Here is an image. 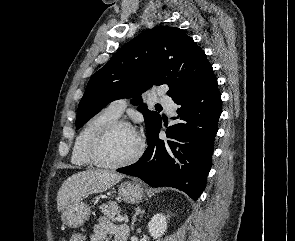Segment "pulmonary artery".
<instances>
[{"label": "pulmonary artery", "instance_id": "e3ab8cb5", "mask_svg": "<svg viewBox=\"0 0 295 241\" xmlns=\"http://www.w3.org/2000/svg\"><path fill=\"white\" fill-rule=\"evenodd\" d=\"M159 101L167 109L169 114L174 113L175 104L173 100L169 96H167L163 91L159 93ZM127 105H128L127 99H124V98L116 99L108 105L107 109H109L115 115L120 116L124 112Z\"/></svg>", "mask_w": 295, "mask_h": 241}]
</instances>
